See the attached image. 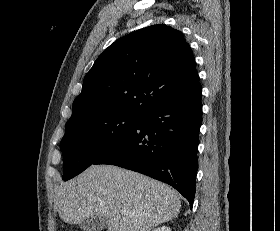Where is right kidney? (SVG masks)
<instances>
[{"label":"right kidney","instance_id":"right-kidney-1","mask_svg":"<svg viewBox=\"0 0 280 231\" xmlns=\"http://www.w3.org/2000/svg\"><path fill=\"white\" fill-rule=\"evenodd\" d=\"M152 231H171V229L167 225H161V227H155Z\"/></svg>","mask_w":280,"mask_h":231}]
</instances>
